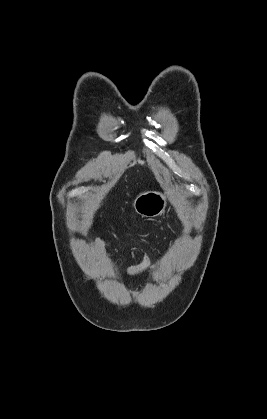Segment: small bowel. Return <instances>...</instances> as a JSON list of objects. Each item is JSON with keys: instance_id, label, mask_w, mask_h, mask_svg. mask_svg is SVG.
Returning a JSON list of instances; mask_svg holds the SVG:
<instances>
[{"instance_id": "c3829d8e", "label": "small bowel", "mask_w": 267, "mask_h": 419, "mask_svg": "<svg viewBox=\"0 0 267 419\" xmlns=\"http://www.w3.org/2000/svg\"><path fill=\"white\" fill-rule=\"evenodd\" d=\"M96 250L100 256L101 259L104 258L105 256V240L103 237H98L96 240ZM102 263L105 267H107V264L103 262ZM108 268V267H107ZM154 269V266H151V260L149 258L148 255H145L143 258V261L138 264V265H134V266H130L127 268L126 270V275L128 277H132V278H137V279H141L146 277L151 270Z\"/></svg>"}]
</instances>
